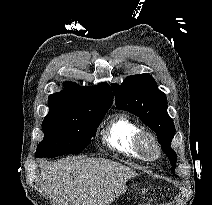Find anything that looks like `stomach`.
I'll use <instances>...</instances> for the list:
<instances>
[{
	"label": "stomach",
	"instance_id": "stomach-1",
	"mask_svg": "<svg viewBox=\"0 0 212 205\" xmlns=\"http://www.w3.org/2000/svg\"><path fill=\"white\" fill-rule=\"evenodd\" d=\"M136 185H137V183H134V182L132 183V187H134V186H136Z\"/></svg>",
	"mask_w": 212,
	"mask_h": 205
}]
</instances>
